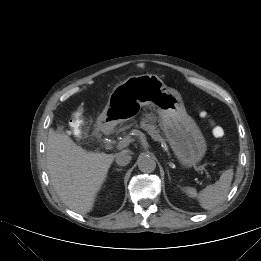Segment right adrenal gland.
I'll use <instances>...</instances> for the list:
<instances>
[{
	"label": "right adrenal gland",
	"mask_w": 261,
	"mask_h": 261,
	"mask_svg": "<svg viewBox=\"0 0 261 261\" xmlns=\"http://www.w3.org/2000/svg\"><path fill=\"white\" fill-rule=\"evenodd\" d=\"M122 169L116 168V171H121Z\"/></svg>",
	"instance_id": "2a0ac1e0"
}]
</instances>
